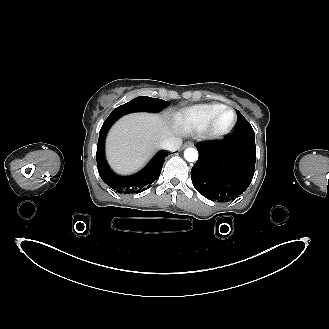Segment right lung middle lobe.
I'll return each instance as SVG.
<instances>
[{
  "label": "right lung middle lobe",
  "instance_id": "1",
  "mask_svg": "<svg viewBox=\"0 0 329 329\" xmlns=\"http://www.w3.org/2000/svg\"><path fill=\"white\" fill-rule=\"evenodd\" d=\"M168 105L169 103L167 101L161 100L159 98L140 96L114 109L106 120H116L121 115L132 111H160Z\"/></svg>",
  "mask_w": 329,
  "mask_h": 329
}]
</instances>
